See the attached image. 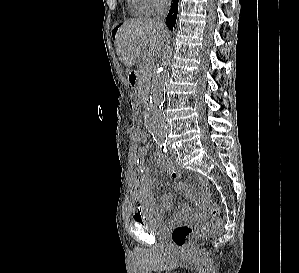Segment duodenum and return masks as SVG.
I'll use <instances>...</instances> for the list:
<instances>
[{"mask_svg": "<svg viewBox=\"0 0 299 273\" xmlns=\"http://www.w3.org/2000/svg\"><path fill=\"white\" fill-rule=\"evenodd\" d=\"M138 75H139L138 70H133V71L130 73L129 80H130V83H131L132 86H135V85H136V81H137Z\"/></svg>", "mask_w": 299, "mask_h": 273, "instance_id": "410a0bca", "label": "duodenum"}]
</instances>
